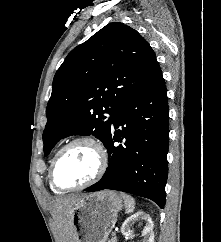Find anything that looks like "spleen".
I'll use <instances>...</instances> for the list:
<instances>
[{
	"label": "spleen",
	"mask_w": 221,
	"mask_h": 242,
	"mask_svg": "<svg viewBox=\"0 0 221 242\" xmlns=\"http://www.w3.org/2000/svg\"><path fill=\"white\" fill-rule=\"evenodd\" d=\"M122 198L124 199L125 202V207H126V213H132L135 209V200L133 197L130 195H127L125 193L121 194Z\"/></svg>",
	"instance_id": "obj_1"
}]
</instances>
